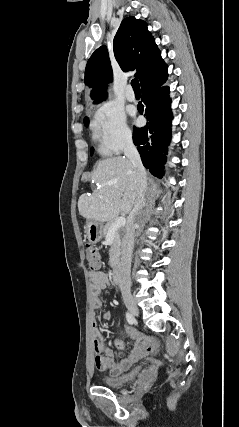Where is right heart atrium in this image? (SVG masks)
Segmentation results:
<instances>
[{
  "mask_svg": "<svg viewBox=\"0 0 239 427\" xmlns=\"http://www.w3.org/2000/svg\"><path fill=\"white\" fill-rule=\"evenodd\" d=\"M93 127L109 153H121L133 143L124 113L113 104H105L97 110Z\"/></svg>",
  "mask_w": 239,
  "mask_h": 427,
  "instance_id": "right-heart-atrium-1",
  "label": "right heart atrium"
}]
</instances>
